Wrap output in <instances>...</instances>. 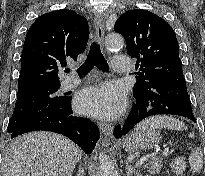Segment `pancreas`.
I'll use <instances>...</instances> for the list:
<instances>
[{"label":"pancreas","instance_id":"obj_1","mask_svg":"<svg viewBox=\"0 0 205 176\" xmlns=\"http://www.w3.org/2000/svg\"><path fill=\"white\" fill-rule=\"evenodd\" d=\"M163 166V157L162 156H152L149 162L145 165V169L149 174L155 175L160 173Z\"/></svg>","mask_w":205,"mask_h":176}]
</instances>
